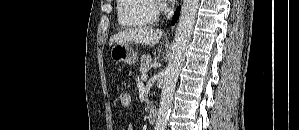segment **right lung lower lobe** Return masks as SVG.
<instances>
[{"label": "right lung lower lobe", "mask_w": 299, "mask_h": 130, "mask_svg": "<svg viewBox=\"0 0 299 130\" xmlns=\"http://www.w3.org/2000/svg\"><path fill=\"white\" fill-rule=\"evenodd\" d=\"M179 14H180V7H178V8L176 9V12H175V14H174V16H173V19H172V25H174V23L177 21V19H178V17H179Z\"/></svg>", "instance_id": "obj_1"}]
</instances>
